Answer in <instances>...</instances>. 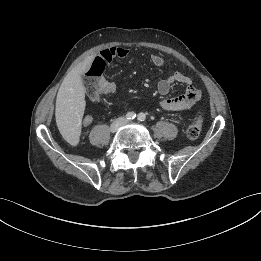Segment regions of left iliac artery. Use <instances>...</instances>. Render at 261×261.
<instances>
[{
    "mask_svg": "<svg viewBox=\"0 0 261 261\" xmlns=\"http://www.w3.org/2000/svg\"><path fill=\"white\" fill-rule=\"evenodd\" d=\"M139 121H144L145 119H146V116H145V114L144 113H140L139 115H138V118H137Z\"/></svg>",
    "mask_w": 261,
    "mask_h": 261,
    "instance_id": "left-iliac-artery-1",
    "label": "left iliac artery"
}]
</instances>
